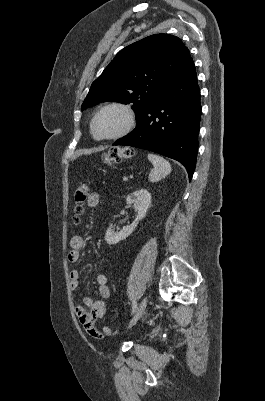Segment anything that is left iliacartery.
I'll list each match as a JSON object with an SVG mask.
<instances>
[{"label": "left iliac artery", "mask_w": 265, "mask_h": 401, "mask_svg": "<svg viewBox=\"0 0 265 401\" xmlns=\"http://www.w3.org/2000/svg\"><path fill=\"white\" fill-rule=\"evenodd\" d=\"M137 309V302L134 300L132 303V313H134Z\"/></svg>", "instance_id": "left-iliac-artery-1"}]
</instances>
